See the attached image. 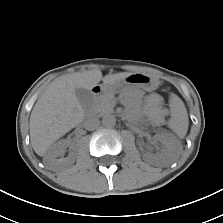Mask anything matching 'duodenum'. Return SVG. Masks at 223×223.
<instances>
[{
    "instance_id": "obj_1",
    "label": "duodenum",
    "mask_w": 223,
    "mask_h": 223,
    "mask_svg": "<svg viewBox=\"0 0 223 223\" xmlns=\"http://www.w3.org/2000/svg\"><path fill=\"white\" fill-rule=\"evenodd\" d=\"M103 90L102 87L97 85L93 88V95L94 96H100L102 94Z\"/></svg>"
}]
</instances>
